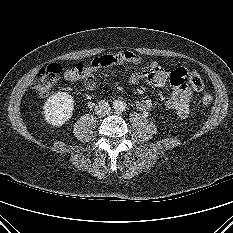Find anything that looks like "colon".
Masks as SVG:
<instances>
[{
    "label": "colon",
    "instance_id": "colon-1",
    "mask_svg": "<svg viewBox=\"0 0 233 233\" xmlns=\"http://www.w3.org/2000/svg\"><path fill=\"white\" fill-rule=\"evenodd\" d=\"M105 58L102 56L96 57L88 64L79 63L66 71V77L70 80H86L91 77L94 72L105 63ZM63 72V68L59 64H51L43 69L32 80V88L36 93L45 97L50 94L56 85L58 76ZM186 79L189 81L191 87L200 91L203 88V81L198 73L195 71H188ZM212 96L210 94H203L201 102L208 107L212 103Z\"/></svg>",
    "mask_w": 233,
    "mask_h": 233
}]
</instances>
